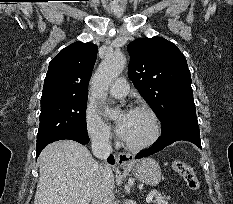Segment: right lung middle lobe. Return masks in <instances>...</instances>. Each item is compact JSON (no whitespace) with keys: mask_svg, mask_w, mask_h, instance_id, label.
Returning <instances> with one entry per match:
<instances>
[{"mask_svg":"<svg viewBox=\"0 0 233 204\" xmlns=\"http://www.w3.org/2000/svg\"><path fill=\"white\" fill-rule=\"evenodd\" d=\"M87 98L54 99L41 102L36 147L66 135H87Z\"/></svg>","mask_w":233,"mask_h":204,"instance_id":"1","label":"right lung middle lobe"}]
</instances>
